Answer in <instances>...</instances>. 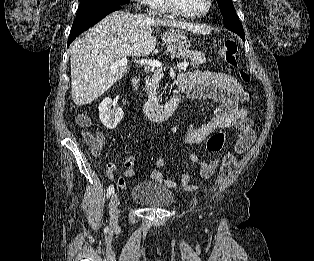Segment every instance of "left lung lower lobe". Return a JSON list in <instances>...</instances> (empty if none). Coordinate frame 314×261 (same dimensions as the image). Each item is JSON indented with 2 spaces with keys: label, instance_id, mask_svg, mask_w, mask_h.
<instances>
[{
  "label": "left lung lower lobe",
  "instance_id": "left-lung-lower-lobe-1",
  "mask_svg": "<svg viewBox=\"0 0 314 261\" xmlns=\"http://www.w3.org/2000/svg\"><path fill=\"white\" fill-rule=\"evenodd\" d=\"M239 36L242 38V40H245V35L244 34H241Z\"/></svg>",
  "mask_w": 314,
  "mask_h": 261
}]
</instances>
